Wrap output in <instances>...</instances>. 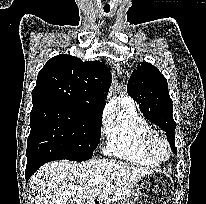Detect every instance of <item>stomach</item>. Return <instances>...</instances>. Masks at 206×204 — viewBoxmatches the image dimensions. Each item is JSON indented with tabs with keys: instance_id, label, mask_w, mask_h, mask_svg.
Wrapping results in <instances>:
<instances>
[{
	"instance_id": "0dacf381",
	"label": "stomach",
	"mask_w": 206,
	"mask_h": 204,
	"mask_svg": "<svg viewBox=\"0 0 206 204\" xmlns=\"http://www.w3.org/2000/svg\"><path fill=\"white\" fill-rule=\"evenodd\" d=\"M173 189L169 175L151 171L135 182L121 204H169Z\"/></svg>"
}]
</instances>
